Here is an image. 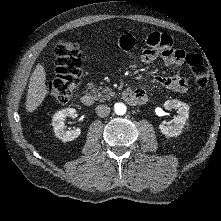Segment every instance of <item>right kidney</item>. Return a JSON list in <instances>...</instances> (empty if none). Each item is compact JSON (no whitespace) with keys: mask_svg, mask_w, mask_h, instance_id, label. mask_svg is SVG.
Segmentation results:
<instances>
[{"mask_svg":"<svg viewBox=\"0 0 221 221\" xmlns=\"http://www.w3.org/2000/svg\"><path fill=\"white\" fill-rule=\"evenodd\" d=\"M77 116L76 110L74 108H66L57 111L53 115L52 126L54 128L55 136L64 142L72 141L79 137L81 130L79 128H74L72 130H65V125L63 123L66 117Z\"/></svg>","mask_w":221,"mask_h":221,"instance_id":"ca27d5eb","label":"right kidney"}]
</instances>
